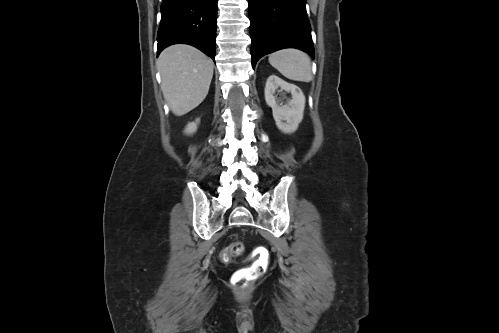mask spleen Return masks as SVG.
<instances>
[{
	"mask_svg": "<svg viewBox=\"0 0 499 333\" xmlns=\"http://www.w3.org/2000/svg\"><path fill=\"white\" fill-rule=\"evenodd\" d=\"M269 63L283 76L294 81L312 80L309 56L297 49H284L269 56Z\"/></svg>",
	"mask_w": 499,
	"mask_h": 333,
	"instance_id": "1",
	"label": "spleen"
}]
</instances>
